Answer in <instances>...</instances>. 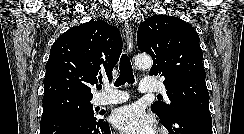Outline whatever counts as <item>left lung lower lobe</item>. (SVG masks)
I'll return each mask as SVG.
<instances>
[{"label": "left lung lower lobe", "instance_id": "1", "mask_svg": "<svg viewBox=\"0 0 244 134\" xmlns=\"http://www.w3.org/2000/svg\"><path fill=\"white\" fill-rule=\"evenodd\" d=\"M160 119L170 134H212L210 112L184 107L174 110L169 118Z\"/></svg>", "mask_w": 244, "mask_h": 134}]
</instances>
